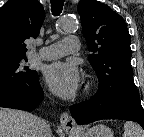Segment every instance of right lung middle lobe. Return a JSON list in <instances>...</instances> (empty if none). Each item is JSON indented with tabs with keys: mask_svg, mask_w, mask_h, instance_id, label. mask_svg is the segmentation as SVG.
<instances>
[{
	"mask_svg": "<svg viewBox=\"0 0 144 137\" xmlns=\"http://www.w3.org/2000/svg\"><path fill=\"white\" fill-rule=\"evenodd\" d=\"M26 58H20L0 65V88H17L33 91L39 83L38 74L22 64Z\"/></svg>",
	"mask_w": 144,
	"mask_h": 137,
	"instance_id": "1",
	"label": "right lung middle lobe"
}]
</instances>
